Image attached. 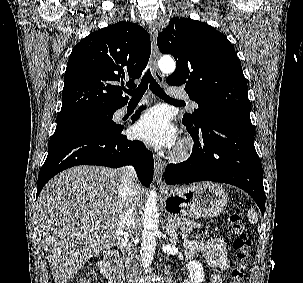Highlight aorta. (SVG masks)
Segmentation results:
<instances>
[{
	"label": "aorta",
	"mask_w": 303,
	"mask_h": 283,
	"mask_svg": "<svg viewBox=\"0 0 303 283\" xmlns=\"http://www.w3.org/2000/svg\"><path fill=\"white\" fill-rule=\"evenodd\" d=\"M159 69L166 74L175 70V61L170 56H163L158 62ZM159 213L157 208V193L153 188L145 203L142 242H141V265L147 271L152 264L156 240L158 236Z\"/></svg>",
	"instance_id": "762f6f07"
}]
</instances>
